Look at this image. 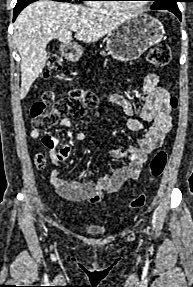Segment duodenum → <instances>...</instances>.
Wrapping results in <instances>:
<instances>
[{
    "label": "duodenum",
    "mask_w": 193,
    "mask_h": 287,
    "mask_svg": "<svg viewBox=\"0 0 193 287\" xmlns=\"http://www.w3.org/2000/svg\"><path fill=\"white\" fill-rule=\"evenodd\" d=\"M79 50L75 45H66L63 48V55L67 59H75L78 56Z\"/></svg>",
    "instance_id": "410a0bca"
}]
</instances>
